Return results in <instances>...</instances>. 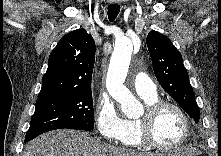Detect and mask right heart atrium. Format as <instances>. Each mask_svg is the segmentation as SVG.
I'll use <instances>...</instances> for the list:
<instances>
[{
    "label": "right heart atrium",
    "mask_w": 221,
    "mask_h": 156,
    "mask_svg": "<svg viewBox=\"0 0 221 156\" xmlns=\"http://www.w3.org/2000/svg\"><path fill=\"white\" fill-rule=\"evenodd\" d=\"M94 122L100 136L108 142H117L124 131V120L120 117L111 97L101 92L94 110Z\"/></svg>",
    "instance_id": "right-heart-atrium-1"
}]
</instances>
